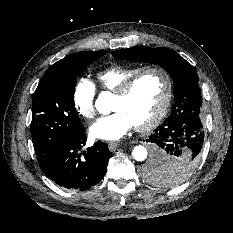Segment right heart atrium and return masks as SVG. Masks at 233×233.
Returning <instances> with one entry per match:
<instances>
[{
	"label": "right heart atrium",
	"instance_id": "d8ad5b80",
	"mask_svg": "<svg viewBox=\"0 0 233 233\" xmlns=\"http://www.w3.org/2000/svg\"><path fill=\"white\" fill-rule=\"evenodd\" d=\"M96 93L95 84L86 78H80L75 83L72 93V103L74 109L81 117L92 119L96 115Z\"/></svg>",
	"mask_w": 233,
	"mask_h": 233
}]
</instances>
